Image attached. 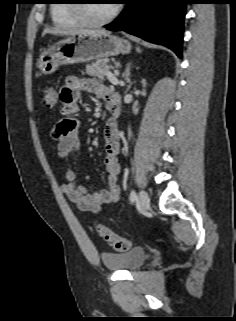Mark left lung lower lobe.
Masks as SVG:
<instances>
[{
	"label": "left lung lower lobe",
	"mask_w": 236,
	"mask_h": 321,
	"mask_svg": "<svg viewBox=\"0 0 236 321\" xmlns=\"http://www.w3.org/2000/svg\"><path fill=\"white\" fill-rule=\"evenodd\" d=\"M116 20L105 26L164 45L182 57L183 22L187 0H126Z\"/></svg>",
	"instance_id": "1"
}]
</instances>
